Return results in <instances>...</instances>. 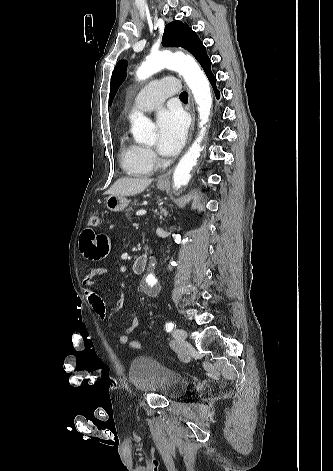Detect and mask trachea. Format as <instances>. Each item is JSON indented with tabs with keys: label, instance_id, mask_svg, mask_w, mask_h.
<instances>
[{
	"label": "trachea",
	"instance_id": "obj_1",
	"mask_svg": "<svg viewBox=\"0 0 333 471\" xmlns=\"http://www.w3.org/2000/svg\"><path fill=\"white\" fill-rule=\"evenodd\" d=\"M180 99H181L182 101H188V93L185 92V91L182 92V93L180 94Z\"/></svg>",
	"mask_w": 333,
	"mask_h": 471
}]
</instances>
